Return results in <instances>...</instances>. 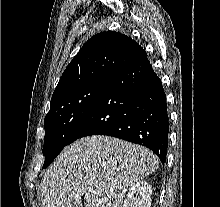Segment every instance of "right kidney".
Masks as SVG:
<instances>
[{"label":"right kidney","mask_w":220,"mask_h":207,"mask_svg":"<svg viewBox=\"0 0 220 207\" xmlns=\"http://www.w3.org/2000/svg\"><path fill=\"white\" fill-rule=\"evenodd\" d=\"M152 186L138 180L129 190L122 207H151Z\"/></svg>","instance_id":"right-kidney-1"}]
</instances>
